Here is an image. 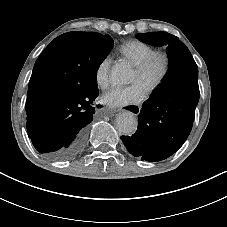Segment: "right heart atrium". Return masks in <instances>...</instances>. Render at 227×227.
Instances as JSON below:
<instances>
[{
    "label": "right heart atrium",
    "mask_w": 227,
    "mask_h": 227,
    "mask_svg": "<svg viewBox=\"0 0 227 227\" xmlns=\"http://www.w3.org/2000/svg\"><path fill=\"white\" fill-rule=\"evenodd\" d=\"M111 62V58L107 56L98 63L95 69V82L100 89H105L110 84Z\"/></svg>",
    "instance_id": "obj_1"
}]
</instances>
